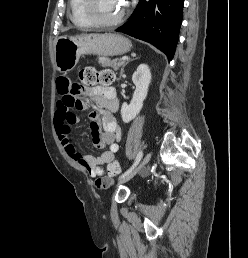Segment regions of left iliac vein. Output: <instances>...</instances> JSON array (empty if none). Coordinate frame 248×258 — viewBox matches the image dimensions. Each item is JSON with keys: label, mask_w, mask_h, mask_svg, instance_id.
Instances as JSON below:
<instances>
[{"label": "left iliac vein", "mask_w": 248, "mask_h": 258, "mask_svg": "<svg viewBox=\"0 0 248 258\" xmlns=\"http://www.w3.org/2000/svg\"><path fill=\"white\" fill-rule=\"evenodd\" d=\"M152 154L148 153L144 159L141 161V163L138 165L136 169H134L132 172H130L128 175H126L124 178L120 179L119 182L117 183V186L128 182L131 180L139 171L144 169V167L148 164V162L151 160Z\"/></svg>", "instance_id": "4c4485c4"}]
</instances>
